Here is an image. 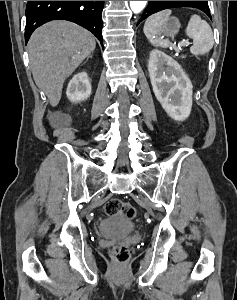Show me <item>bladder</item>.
Segmentation results:
<instances>
[{
  "label": "bladder",
  "mask_w": 237,
  "mask_h": 300,
  "mask_svg": "<svg viewBox=\"0 0 237 300\" xmlns=\"http://www.w3.org/2000/svg\"><path fill=\"white\" fill-rule=\"evenodd\" d=\"M134 225L129 219L120 215H111L99 224V233L104 237L115 238L130 233Z\"/></svg>",
  "instance_id": "obj_1"
}]
</instances>
